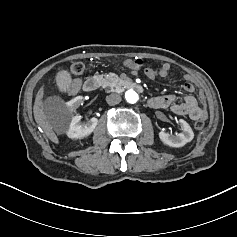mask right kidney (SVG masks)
<instances>
[{"label": "right kidney", "instance_id": "1", "mask_svg": "<svg viewBox=\"0 0 237 237\" xmlns=\"http://www.w3.org/2000/svg\"><path fill=\"white\" fill-rule=\"evenodd\" d=\"M82 99V96H77L68 102V106L70 107L72 112H75L76 109L80 106ZM97 122L98 120L95 117L82 122L81 116L74 115L72 116L71 123L67 131V136L72 139L84 138L93 132V130L97 126Z\"/></svg>", "mask_w": 237, "mask_h": 237}]
</instances>
